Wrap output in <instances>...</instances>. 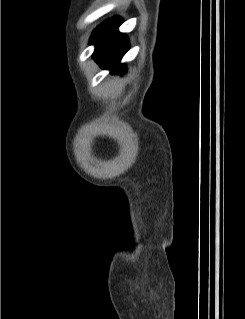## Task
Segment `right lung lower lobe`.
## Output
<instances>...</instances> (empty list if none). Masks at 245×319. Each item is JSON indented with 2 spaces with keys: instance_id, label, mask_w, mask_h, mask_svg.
Here are the masks:
<instances>
[{
  "instance_id": "right-lung-lower-lobe-1",
  "label": "right lung lower lobe",
  "mask_w": 245,
  "mask_h": 319,
  "mask_svg": "<svg viewBox=\"0 0 245 319\" xmlns=\"http://www.w3.org/2000/svg\"><path fill=\"white\" fill-rule=\"evenodd\" d=\"M121 20L117 17L103 22L95 30L91 43L96 44L94 58L102 68H110L113 73L122 72L123 65L119 62L129 49L128 39L118 32Z\"/></svg>"
}]
</instances>
